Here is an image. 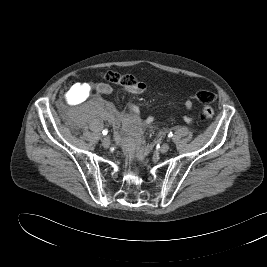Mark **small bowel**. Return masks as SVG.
Instances as JSON below:
<instances>
[{"label":"small bowel","mask_w":267,"mask_h":267,"mask_svg":"<svg viewBox=\"0 0 267 267\" xmlns=\"http://www.w3.org/2000/svg\"><path fill=\"white\" fill-rule=\"evenodd\" d=\"M95 89L96 92L102 96H108L112 93V87L104 82L98 83ZM125 89L132 94H141L147 90V85L143 82H140L137 86L125 87ZM183 107L188 111L191 110L193 107L192 101L185 100L183 102ZM107 119L114 125V127H119L121 124H125L128 132L134 139L137 138L138 133L143 128L153 124L156 120L154 116H148L145 119H141L140 108L135 104L130 106L128 113L111 111L107 115ZM184 120L188 123L192 122V119L188 116H185ZM137 150L139 153H142L143 147L139 144Z\"/></svg>","instance_id":"obj_1"}]
</instances>
